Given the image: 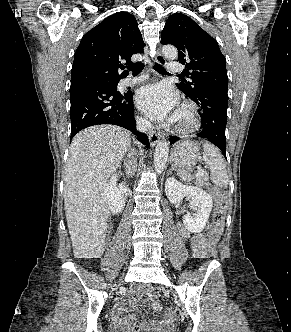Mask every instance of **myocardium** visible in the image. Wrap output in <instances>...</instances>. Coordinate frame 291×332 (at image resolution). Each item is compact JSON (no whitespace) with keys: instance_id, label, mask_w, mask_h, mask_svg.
Returning a JSON list of instances; mask_svg holds the SVG:
<instances>
[{"instance_id":"myocardium-1","label":"myocardium","mask_w":291,"mask_h":332,"mask_svg":"<svg viewBox=\"0 0 291 332\" xmlns=\"http://www.w3.org/2000/svg\"><path fill=\"white\" fill-rule=\"evenodd\" d=\"M200 126L197 106L192 102H183L176 114L174 128L177 132L188 134Z\"/></svg>"}]
</instances>
